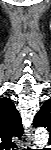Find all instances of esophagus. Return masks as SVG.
<instances>
[{
	"label": "esophagus",
	"mask_w": 51,
	"mask_h": 150,
	"mask_svg": "<svg viewBox=\"0 0 51 150\" xmlns=\"http://www.w3.org/2000/svg\"><path fill=\"white\" fill-rule=\"evenodd\" d=\"M28 140H29L28 145L34 146V142H33V131H32L31 128L28 130Z\"/></svg>",
	"instance_id": "1"
}]
</instances>
